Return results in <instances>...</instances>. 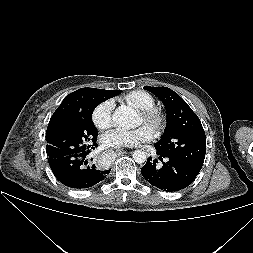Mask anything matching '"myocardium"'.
I'll list each match as a JSON object with an SVG mask.
<instances>
[{
  "mask_svg": "<svg viewBox=\"0 0 253 253\" xmlns=\"http://www.w3.org/2000/svg\"><path fill=\"white\" fill-rule=\"evenodd\" d=\"M141 115L155 134H160L164 130L167 123V116L162 110L153 107L141 110Z\"/></svg>",
  "mask_w": 253,
  "mask_h": 253,
  "instance_id": "f54148a6",
  "label": "myocardium"
}]
</instances>
